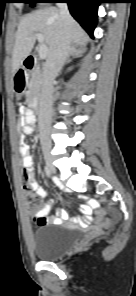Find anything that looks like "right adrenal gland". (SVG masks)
Wrapping results in <instances>:
<instances>
[{
	"mask_svg": "<svg viewBox=\"0 0 136 296\" xmlns=\"http://www.w3.org/2000/svg\"><path fill=\"white\" fill-rule=\"evenodd\" d=\"M85 52V49L78 44H74L72 45V47L69 50V53L67 55V59H66V63H68L70 61V57H80L83 55V53Z\"/></svg>",
	"mask_w": 136,
	"mask_h": 296,
	"instance_id": "1",
	"label": "right adrenal gland"
}]
</instances>
